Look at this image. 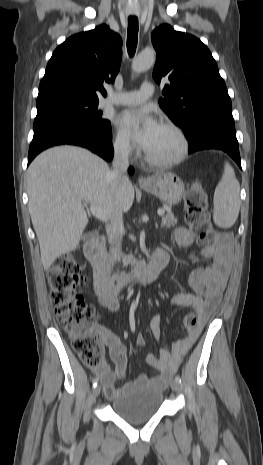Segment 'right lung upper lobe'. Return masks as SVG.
Returning <instances> with one entry per match:
<instances>
[{
    "instance_id": "right-lung-upper-lobe-1",
    "label": "right lung upper lobe",
    "mask_w": 263,
    "mask_h": 465,
    "mask_svg": "<svg viewBox=\"0 0 263 465\" xmlns=\"http://www.w3.org/2000/svg\"><path fill=\"white\" fill-rule=\"evenodd\" d=\"M121 57L122 39L106 25L71 36L52 54L37 101L58 96H106L103 82H114Z\"/></svg>"
}]
</instances>
